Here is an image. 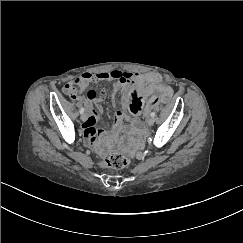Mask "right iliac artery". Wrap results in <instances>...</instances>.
I'll list each match as a JSON object with an SVG mask.
<instances>
[{
	"mask_svg": "<svg viewBox=\"0 0 243 243\" xmlns=\"http://www.w3.org/2000/svg\"><path fill=\"white\" fill-rule=\"evenodd\" d=\"M84 113V108L82 107L81 109H80V114H83Z\"/></svg>",
	"mask_w": 243,
	"mask_h": 243,
	"instance_id": "82829eb1",
	"label": "right iliac artery"
}]
</instances>
